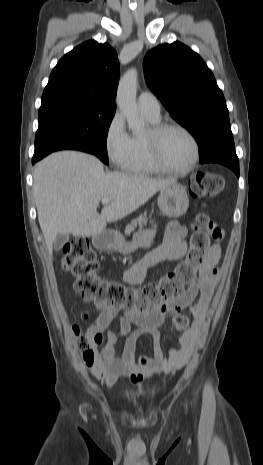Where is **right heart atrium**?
Masks as SVG:
<instances>
[{
    "instance_id": "obj_1",
    "label": "right heart atrium",
    "mask_w": 263,
    "mask_h": 465,
    "mask_svg": "<svg viewBox=\"0 0 263 465\" xmlns=\"http://www.w3.org/2000/svg\"><path fill=\"white\" fill-rule=\"evenodd\" d=\"M103 143L106 156L111 163L116 168L126 169L131 152V136L119 112H115L109 120Z\"/></svg>"
}]
</instances>
